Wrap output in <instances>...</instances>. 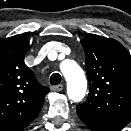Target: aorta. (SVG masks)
<instances>
[{
	"instance_id": "aorta-1",
	"label": "aorta",
	"mask_w": 131,
	"mask_h": 131,
	"mask_svg": "<svg viewBox=\"0 0 131 131\" xmlns=\"http://www.w3.org/2000/svg\"><path fill=\"white\" fill-rule=\"evenodd\" d=\"M60 68L67 82L69 99L80 101L87 89V81L83 70L72 60L63 61Z\"/></svg>"
}]
</instances>
